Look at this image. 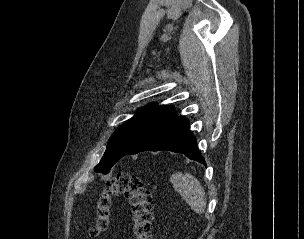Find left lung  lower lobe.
<instances>
[{"mask_svg":"<svg viewBox=\"0 0 304 239\" xmlns=\"http://www.w3.org/2000/svg\"><path fill=\"white\" fill-rule=\"evenodd\" d=\"M189 127L190 124L186 118L177 116L145 137L125 155L142 151L169 150L182 153L189 159L205 164V160L198 150L196 138L190 132Z\"/></svg>","mask_w":304,"mask_h":239,"instance_id":"1","label":"left lung lower lobe"}]
</instances>
